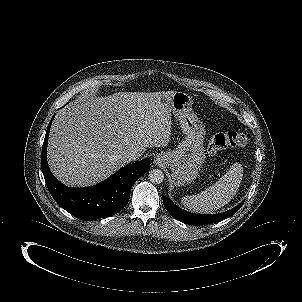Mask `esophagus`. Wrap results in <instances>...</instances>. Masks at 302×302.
I'll return each instance as SVG.
<instances>
[{"label":"esophagus","instance_id":"1","mask_svg":"<svg viewBox=\"0 0 302 302\" xmlns=\"http://www.w3.org/2000/svg\"><path fill=\"white\" fill-rule=\"evenodd\" d=\"M154 162H155L156 164H160V163H161L160 157H159V156L155 157V158H154Z\"/></svg>","mask_w":302,"mask_h":302}]
</instances>
